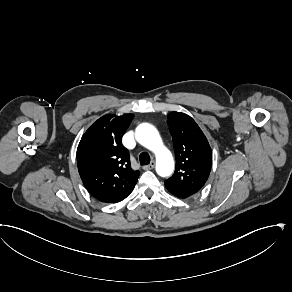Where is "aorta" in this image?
I'll use <instances>...</instances> for the list:
<instances>
[{"label": "aorta", "instance_id": "obj_1", "mask_svg": "<svg viewBox=\"0 0 292 292\" xmlns=\"http://www.w3.org/2000/svg\"><path fill=\"white\" fill-rule=\"evenodd\" d=\"M136 139L155 153L157 174L161 177L170 176L174 171V160L171 152L163 145L156 128L148 123L140 124L136 128Z\"/></svg>", "mask_w": 292, "mask_h": 292}]
</instances>
